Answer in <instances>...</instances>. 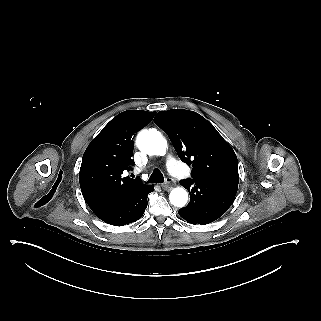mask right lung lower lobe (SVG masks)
Returning <instances> with one entry per match:
<instances>
[{"label": "right lung lower lobe", "mask_w": 321, "mask_h": 321, "mask_svg": "<svg viewBox=\"0 0 321 321\" xmlns=\"http://www.w3.org/2000/svg\"><path fill=\"white\" fill-rule=\"evenodd\" d=\"M152 191L153 186L146 185L123 200L92 211L110 225L123 226L141 218L147 208V195Z\"/></svg>", "instance_id": "98d812e1"}]
</instances>
